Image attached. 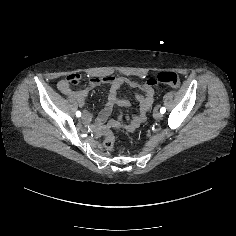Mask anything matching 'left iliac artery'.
Here are the masks:
<instances>
[{
	"label": "left iliac artery",
	"instance_id": "1",
	"mask_svg": "<svg viewBox=\"0 0 236 236\" xmlns=\"http://www.w3.org/2000/svg\"><path fill=\"white\" fill-rule=\"evenodd\" d=\"M160 112H161L162 114H164V113L166 112V109H165L164 107H162V108L160 109Z\"/></svg>",
	"mask_w": 236,
	"mask_h": 236
}]
</instances>
